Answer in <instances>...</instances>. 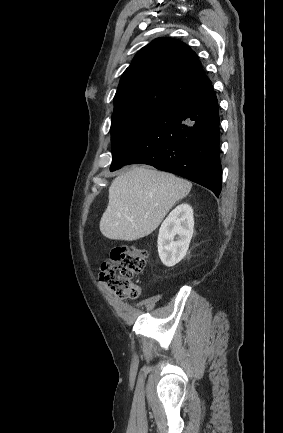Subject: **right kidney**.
Segmentation results:
<instances>
[{
    "label": "right kidney",
    "instance_id": "obj_1",
    "mask_svg": "<svg viewBox=\"0 0 283 433\" xmlns=\"http://www.w3.org/2000/svg\"><path fill=\"white\" fill-rule=\"evenodd\" d=\"M193 229V209L186 203L178 205L163 221L158 235V253L165 266L173 267L185 257Z\"/></svg>",
    "mask_w": 283,
    "mask_h": 433
}]
</instances>
